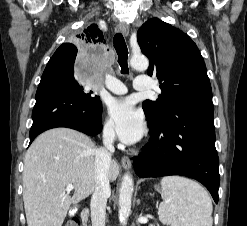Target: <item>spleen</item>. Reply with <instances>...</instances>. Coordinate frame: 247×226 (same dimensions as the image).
<instances>
[{
	"label": "spleen",
	"instance_id": "1",
	"mask_svg": "<svg viewBox=\"0 0 247 226\" xmlns=\"http://www.w3.org/2000/svg\"><path fill=\"white\" fill-rule=\"evenodd\" d=\"M160 220L171 226H212V202L197 182L180 176L161 180Z\"/></svg>",
	"mask_w": 247,
	"mask_h": 226
}]
</instances>
